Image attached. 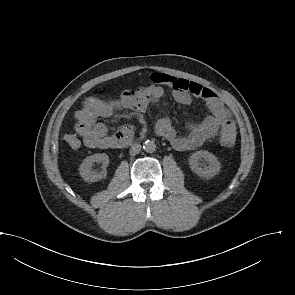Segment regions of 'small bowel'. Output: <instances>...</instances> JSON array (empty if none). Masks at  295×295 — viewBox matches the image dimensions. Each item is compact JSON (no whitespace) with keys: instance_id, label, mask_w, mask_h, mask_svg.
I'll return each mask as SVG.
<instances>
[{"instance_id":"1","label":"small bowel","mask_w":295,"mask_h":295,"mask_svg":"<svg viewBox=\"0 0 295 295\" xmlns=\"http://www.w3.org/2000/svg\"><path fill=\"white\" fill-rule=\"evenodd\" d=\"M163 86H168L171 89L174 100L179 104L188 105L193 97H197L205 101L210 111V115L199 123L190 125L189 131L185 135L177 133L168 117H162L157 121L156 133L167 139L175 150H194L214 138L225 123L234 124L224 104L210 88L183 78L154 73L149 85L136 90H127L118 98L109 100L96 97L86 98L81 109L75 114L77 135L82 138L84 145L91 149L117 148L120 139L133 135V127L125 125L116 133L108 134L106 125L99 119L109 118L121 109L145 112L150 104L158 103L162 99ZM80 144L81 141L77 137V144L71 147L76 149Z\"/></svg>"}]
</instances>
